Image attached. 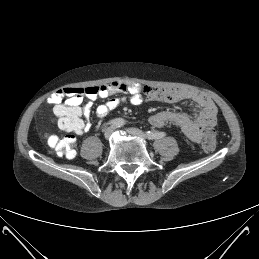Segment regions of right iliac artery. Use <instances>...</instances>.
Here are the masks:
<instances>
[{
    "label": "right iliac artery",
    "mask_w": 259,
    "mask_h": 259,
    "mask_svg": "<svg viewBox=\"0 0 259 259\" xmlns=\"http://www.w3.org/2000/svg\"><path fill=\"white\" fill-rule=\"evenodd\" d=\"M115 122H122L123 124H125V120L122 119V118H116V119H113L111 121H109L108 123L105 124L106 125H113Z\"/></svg>",
    "instance_id": "right-iliac-artery-1"
}]
</instances>
